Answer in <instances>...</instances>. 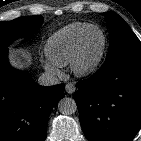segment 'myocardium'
Masks as SVG:
<instances>
[{
    "instance_id": "myocardium-1",
    "label": "myocardium",
    "mask_w": 141,
    "mask_h": 141,
    "mask_svg": "<svg viewBox=\"0 0 141 141\" xmlns=\"http://www.w3.org/2000/svg\"><path fill=\"white\" fill-rule=\"evenodd\" d=\"M94 30L99 31L103 37L102 48L99 54L97 55V57L92 62L85 63L83 61L85 42L88 35ZM107 46H108V40L105 32L98 26L92 25L91 27H89L79 39L75 54L70 64L72 71L77 76H81V77L93 74L100 67L107 50Z\"/></svg>"
}]
</instances>
